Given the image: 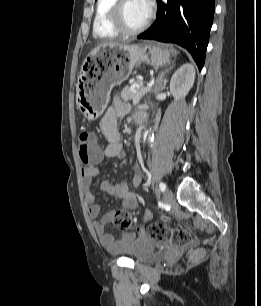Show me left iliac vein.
Instances as JSON below:
<instances>
[{"label":"left iliac vein","mask_w":261,"mask_h":306,"mask_svg":"<svg viewBox=\"0 0 261 306\" xmlns=\"http://www.w3.org/2000/svg\"><path fill=\"white\" fill-rule=\"evenodd\" d=\"M173 199V192L171 189L167 188L163 195L164 203H169Z\"/></svg>","instance_id":"1"}]
</instances>
